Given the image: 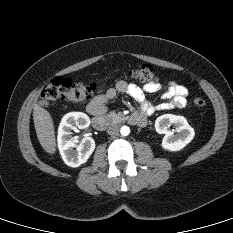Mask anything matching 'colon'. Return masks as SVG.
<instances>
[{
    "mask_svg": "<svg viewBox=\"0 0 233 233\" xmlns=\"http://www.w3.org/2000/svg\"><path fill=\"white\" fill-rule=\"evenodd\" d=\"M127 75L143 83H155L157 81L156 70L148 64L134 65L127 71ZM95 90L96 85L93 83L73 82L70 79L56 77L44 86L40 101L44 106L58 100L81 102L91 98ZM194 104L198 108H203L206 102L197 98L194 100Z\"/></svg>",
    "mask_w": 233,
    "mask_h": 233,
    "instance_id": "5ec220e1",
    "label": "colon"
}]
</instances>
